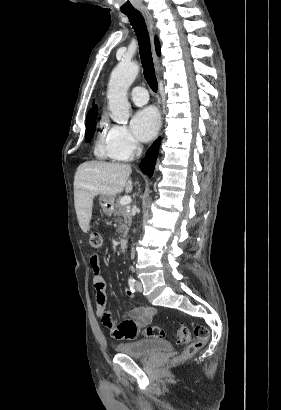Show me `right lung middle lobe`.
Here are the masks:
<instances>
[{
	"label": "right lung middle lobe",
	"mask_w": 281,
	"mask_h": 410,
	"mask_svg": "<svg viewBox=\"0 0 281 410\" xmlns=\"http://www.w3.org/2000/svg\"><path fill=\"white\" fill-rule=\"evenodd\" d=\"M96 116H92L90 118H86V142H90L96 128Z\"/></svg>",
	"instance_id": "1"
}]
</instances>
